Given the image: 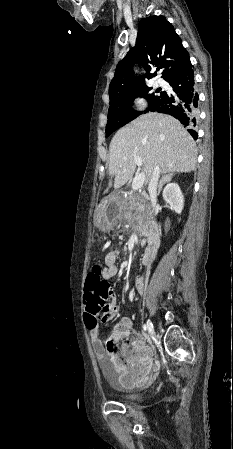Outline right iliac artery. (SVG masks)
<instances>
[{"label":"right iliac artery","instance_id":"1","mask_svg":"<svg viewBox=\"0 0 233 449\" xmlns=\"http://www.w3.org/2000/svg\"><path fill=\"white\" fill-rule=\"evenodd\" d=\"M151 327H153V325L151 324ZM146 330H149V326H148V324H145L144 326H143V333H145L146 332Z\"/></svg>","mask_w":233,"mask_h":449}]
</instances>
